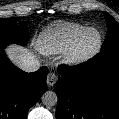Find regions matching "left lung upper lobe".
<instances>
[{"mask_svg": "<svg viewBox=\"0 0 119 119\" xmlns=\"http://www.w3.org/2000/svg\"><path fill=\"white\" fill-rule=\"evenodd\" d=\"M104 16L108 31L98 55L102 60H107L119 56V23L106 12H104Z\"/></svg>", "mask_w": 119, "mask_h": 119, "instance_id": "5c2ea615", "label": "left lung upper lobe"}]
</instances>
